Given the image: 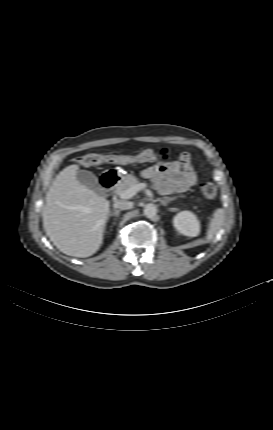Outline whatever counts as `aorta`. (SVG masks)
I'll return each mask as SVG.
<instances>
[{"label":"aorta","instance_id":"1","mask_svg":"<svg viewBox=\"0 0 273 430\" xmlns=\"http://www.w3.org/2000/svg\"><path fill=\"white\" fill-rule=\"evenodd\" d=\"M156 214H157V207L154 204L149 203V204L145 205V207H144V215L147 218L152 219L153 217L156 216Z\"/></svg>","mask_w":273,"mask_h":430}]
</instances>
